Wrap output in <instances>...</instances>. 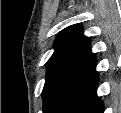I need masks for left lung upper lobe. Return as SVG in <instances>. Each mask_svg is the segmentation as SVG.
<instances>
[{"mask_svg":"<svg viewBox=\"0 0 121 113\" xmlns=\"http://www.w3.org/2000/svg\"><path fill=\"white\" fill-rule=\"evenodd\" d=\"M89 42L77 25L58 34L55 52L47 62L42 91L44 113H71L98 83Z\"/></svg>","mask_w":121,"mask_h":113,"instance_id":"obj_1","label":"left lung upper lobe"}]
</instances>
